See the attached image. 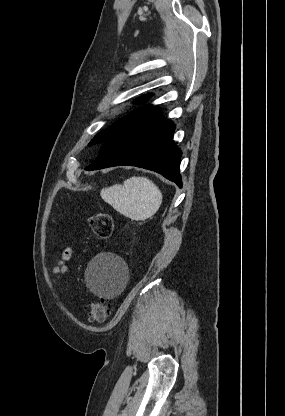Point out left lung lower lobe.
<instances>
[{
	"label": "left lung lower lobe",
	"instance_id": "0a47b994",
	"mask_svg": "<svg viewBox=\"0 0 285 416\" xmlns=\"http://www.w3.org/2000/svg\"><path fill=\"white\" fill-rule=\"evenodd\" d=\"M175 125L159 111L142 116L115 132L102 145L95 161L85 170L131 165L162 174L182 186L181 150L173 142Z\"/></svg>",
	"mask_w": 285,
	"mask_h": 416
}]
</instances>
